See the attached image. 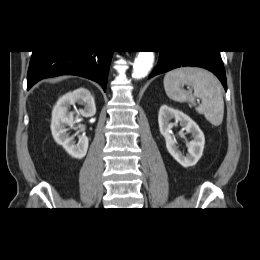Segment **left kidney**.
I'll return each instance as SVG.
<instances>
[{
	"instance_id": "1",
	"label": "left kidney",
	"mask_w": 260,
	"mask_h": 260,
	"mask_svg": "<svg viewBox=\"0 0 260 260\" xmlns=\"http://www.w3.org/2000/svg\"><path fill=\"white\" fill-rule=\"evenodd\" d=\"M175 119L179 122L186 132L191 133L193 140L190 141L188 154L186 156L178 149L177 142L172 136L174 123L170 122ZM158 123L160 133L166 141V148L170 155L183 167L194 166L202 156L205 137L199 126L186 114L177 109L162 105L158 113Z\"/></svg>"
}]
</instances>
